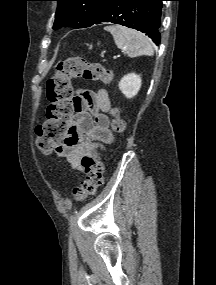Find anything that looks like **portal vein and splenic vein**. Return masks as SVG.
Returning a JSON list of instances; mask_svg holds the SVG:
<instances>
[{
  "label": "portal vein and splenic vein",
  "instance_id": "obj_1",
  "mask_svg": "<svg viewBox=\"0 0 216 285\" xmlns=\"http://www.w3.org/2000/svg\"><path fill=\"white\" fill-rule=\"evenodd\" d=\"M113 58H114V59H116V58H117V56H114Z\"/></svg>",
  "mask_w": 216,
  "mask_h": 285
}]
</instances>
